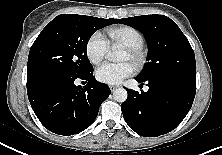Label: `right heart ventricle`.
<instances>
[{"label":"right heart ventricle","instance_id":"obj_1","mask_svg":"<svg viewBox=\"0 0 222 155\" xmlns=\"http://www.w3.org/2000/svg\"><path fill=\"white\" fill-rule=\"evenodd\" d=\"M112 43L125 47H143L144 37L139 30L132 26L123 25L107 30Z\"/></svg>","mask_w":222,"mask_h":155}]
</instances>
